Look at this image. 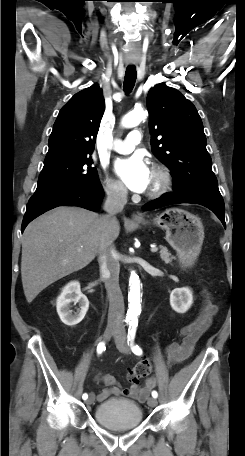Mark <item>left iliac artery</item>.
Wrapping results in <instances>:
<instances>
[{"label":"left iliac artery","instance_id":"obj_1","mask_svg":"<svg viewBox=\"0 0 245 456\" xmlns=\"http://www.w3.org/2000/svg\"><path fill=\"white\" fill-rule=\"evenodd\" d=\"M136 327H137V322H130L129 330H128V344L131 347V350L134 354L136 355H142V349L134 344V338L136 334ZM152 397L157 398L158 393L156 391L152 392Z\"/></svg>","mask_w":245,"mask_h":456}]
</instances>
